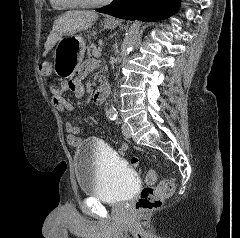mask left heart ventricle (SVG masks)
Returning <instances> with one entry per match:
<instances>
[{"mask_svg":"<svg viewBox=\"0 0 240 238\" xmlns=\"http://www.w3.org/2000/svg\"><path fill=\"white\" fill-rule=\"evenodd\" d=\"M68 1H76V2L91 3V2H96V1H98V0H68Z\"/></svg>","mask_w":240,"mask_h":238,"instance_id":"1","label":"left heart ventricle"}]
</instances>
